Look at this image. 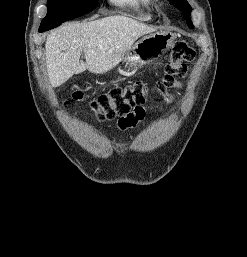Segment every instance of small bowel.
<instances>
[{"instance_id":"obj_1","label":"small bowel","mask_w":247,"mask_h":257,"mask_svg":"<svg viewBox=\"0 0 247 257\" xmlns=\"http://www.w3.org/2000/svg\"><path fill=\"white\" fill-rule=\"evenodd\" d=\"M145 111L141 109L139 111H134L127 120L124 121L123 124L118 123V127L122 130L130 129V128H137L140 122L144 120Z\"/></svg>"}]
</instances>
